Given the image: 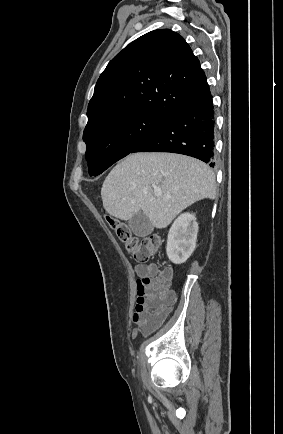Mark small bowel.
<instances>
[{
  "label": "small bowel",
  "mask_w": 283,
  "mask_h": 434,
  "mask_svg": "<svg viewBox=\"0 0 283 434\" xmlns=\"http://www.w3.org/2000/svg\"><path fill=\"white\" fill-rule=\"evenodd\" d=\"M136 275L141 278L145 276H151L157 272V267L155 264H139L135 267ZM174 294V293H173ZM140 331L139 328L133 331V336H136Z\"/></svg>",
  "instance_id": "c3829d8e"
}]
</instances>
